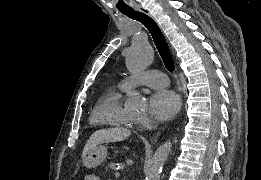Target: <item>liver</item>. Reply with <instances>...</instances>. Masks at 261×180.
I'll list each match as a JSON object with an SVG mask.
<instances>
[{"mask_svg":"<svg viewBox=\"0 0 261 180\" xmlns=\"http://www.w3.org/2000/svg\"><path fill=\"white\" fill-rule=\"evenodd\" d=\"M131 132L127 128H106V130H97L94 134H91L89 140H87L84 150L82 152V158H86L88 152L96 148L98 144H109V142H123L126 138H129Z\"/></svg>","mask_w":261,"mask_h":180,"instance_id":"6515ba94","label":"liver"}]
</instances>
